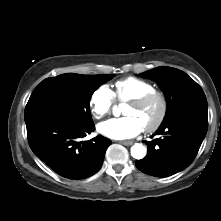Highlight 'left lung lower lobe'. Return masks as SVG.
Here are the masks:
<instances>
[{
    "label": "left lung lower lobe",
    "mask_w": 221,
    "mask_h": 221,
    "mask_svg": "<svg viewBox=\"0 0 221 221\" xmlns=\"http://www.w3.org/2000/svg\"><path fill=\"white\" fill-rule=\"evenodd\" d=\"M207 109V106L190 107L162 123L153 135L161 137L145 141L148 152L145 158L136 161L137 168L156 177L171 176L187 168L207 133Z\"/></svg>",
    "instance_id": "left-lung-lower-lobe-1"
}]
</instances>
